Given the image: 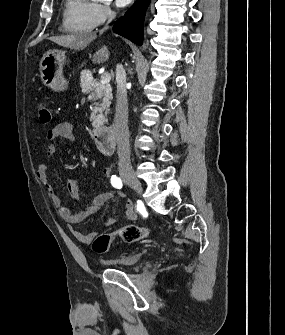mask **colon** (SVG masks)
<instances>
[{"mask_svg": "<svg viewBox=\"0 0 285 335\" xmlns=\"http://www.w3.org/2000/svg\"><path fill=\"white\" fill-rule=\"evenodd\" d=\"M36 110L40 123L47 125L51 122V111L46 103L40 102ZM148 235L149 229L146 227L127 225L112 233L95 235L91 241V247L96 253H106L110 250L115 239H120L126 243H134L143 240Z\"/></svg>", "mask_w": 285, "mask_h": 335, "instance_id": "colon-1", "label": "colon"}]
</instances>
